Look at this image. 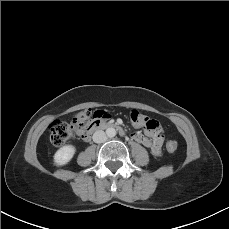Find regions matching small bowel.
Returning a JSON list of instances; mask_svg holds the SVG:
<instances>
[{
	"label": "small bowel",
	"mask_w": 229,
	"mask_h": 229,
	"mask_svg": "<svg viewBox=\"0 0 229 229\" xmlns=\"http://www.w3.org/2000/svg\"><path fill=\"white\" fill-rule=\"evenodd\" d=\"M149 134L151 135V138L146 137L141 132H135L132 134V138L135 141L144 145L145 147L149 148L152 154L159 155L161 153V148L163 144V138L160 134V130H149Z\"/></svg>",
	"instance_id": "obj_1"
}]
</instances>
